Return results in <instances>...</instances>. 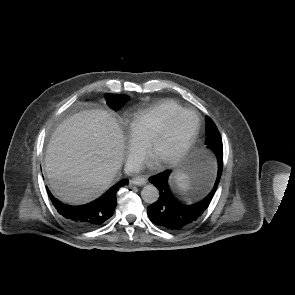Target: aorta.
<instances>
[{
    "label": "aorta",
    "mask_w": 295,
    "mask_h": 295,
    "mask_svg": "<svg viewBox=\"0 0 295 295\" xmlns=\"http://www.w3.org/2000/svg\"><path fill=\"white\" fill-rule=\"evenodd\" d=\"M141 197L146 203H155L159 198V190L152 184L145 185L141 191Z\"/></svg>",
    "instance_id": "aorta-1"
}]
</instances>
